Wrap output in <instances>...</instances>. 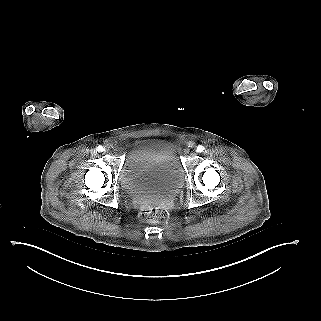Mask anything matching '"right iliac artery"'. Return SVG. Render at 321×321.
I'll use <instances>...</instances> for the list:
<instances>
[{"instance_id": "1", "label": "right iliac artery", "mask_w": 321, "mask_h": 321, "mask_svg": "<svg viewBox=\"0 0 321 321\" xmlns=\"http://www.w3.org/2000/svg\"><path fill=\"white\" fill-rule=\"evenodd\" d=\"M96 150H97L98 152H102V151H104V148H103V146H98V147L96 148Z\"/></svg>"}]
</instances>
